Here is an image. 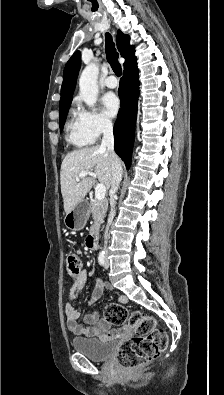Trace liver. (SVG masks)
<instances>
[{"instance_id": "liver-1", "label": "liver", "mask_w": 224, "mask_h": 395, "mask_svg": "<svg viewBox=\"0 0 224 395\" xmlns=\"http://www.w3.org/2000/svg\"><path fill=\"white\" fill-rule=\"evenodd\" d=\"M83 171H94L98 182L109 188L112 180V168L108 151L96 145L74 150L65 156L61 164L60 184L66 213L83 201L96 182L90 176L82 177L81 180L76 181Z\"/></svg>"}]
</instances>
